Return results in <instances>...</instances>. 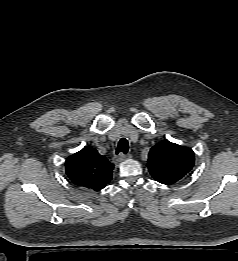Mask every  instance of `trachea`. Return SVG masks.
I'll use <instances>...</instances> for the list:
<instances>
[{"label": "trachea", "mask_w": 238, "mask_h": 261, "mask_svg": "<svg viewBox=\"0 0 238 261\" xmlns=\"http://www.w3.org/2000/svg\"><path fill=\"white\" fill-rule=\"evenodd\" d=\"M129 145H128V140L125 138H121L120 141L118 142V147L116 150V154L122 152L123 154H126L128 152Z\"/></svg>", "instance_id": "trachea-1"}]
</instances>
